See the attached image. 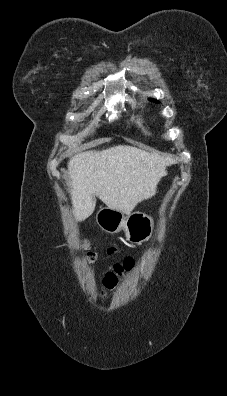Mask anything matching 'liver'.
Returning a JSON list of instances; mask_svg holds the SVG:
<instances>
[{
  "label": "liver",
  "mask_w": 227,
  "mask_h": 396,
  "mask_svg": "<svg viewBox=\"0 0 227 396\" xmlns=\"http://www.w3.org/2000/svg\"><path fill=\"white\" fill-rule=\"evenodd\" d=\"M171 158L128 145L81 152L68 162L71 200L77 221L96 206V196L107 207L129 214L138 203L155 195Z\"/></svg>",
  "instance_id": "6515ba94"
}]
</instances>
